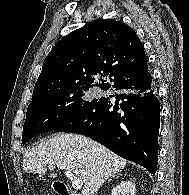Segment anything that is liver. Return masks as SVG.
I'll return each mask as SVG.
<instances>
[{
  "mask_svg": "<svg viewBox=\"0 0 189 195\" xmlns=\"http://www.w3.org/2000/svg\"><path fill=\"white\" fill-rule=\"evenodd\" d=\"M126 164L125 159L99 143L71 133L55 134L23 154V170L27 173H46L50 165L73 172L83 181L81 195H94ZM49 177L56 178L57 173Z\"/></svg>",
  "mask_w": 189,
  "mask_h": 195,
  "instance_id": "obj_1",
  "label": "liver"
}]
</instances>
